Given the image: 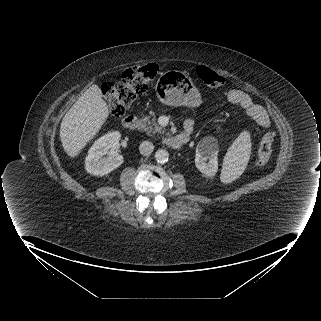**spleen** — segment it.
<instances>
[{
	"label": "spleen",
	"instance_id": "3e777b00",
	"mask_svg": "<svg viewBox=\"0 0 321 321\" xmlns=\"http://www.w3.org/2000/svg\"><path fill=\"white\" fill-rule=\"evenodd\" d=\"M251 154L250 133L241 132L232 145L228 148L224 157L221 180L229 183L238 178L247 165Z\"/></svg>",
	"mask_w": 321,
	"mask_h": 321
}]
</instances>
